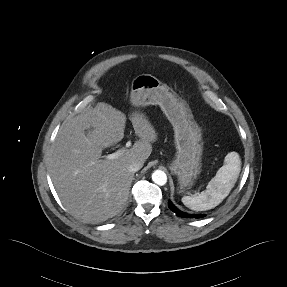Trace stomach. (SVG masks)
<instances>
[{"instance_id": "stomach-1", "label": "stomach", "mask_w": 287, "mask_h": 287, "mask_svg": "<svg viewBox=\"0 0 287 287\" xmlns=\"http://www.w3.org/2000/svg\"><path fill=\"white\" fill-rule=\"evenodd\" d=\"M133 106L159 105L173 126L176 155L170 170L178 178L179 192L190 189L201 173L203 151L201 128L185 100L151 74H140L131 83Z\"/></svg>"}]
</instances>
